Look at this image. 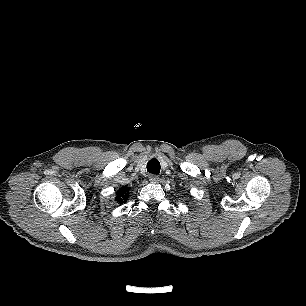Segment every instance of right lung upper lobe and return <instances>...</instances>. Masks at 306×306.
<instances>
[{
	"label": "right lung upper lobe",
	"instance_id": "right-lung-upper-lobe-1",
	"mask_svg": "<svg viewBox=\"0 0 306 306\" xmlns=\"http://www.w3.org/2000/svg\"><path fill=\"white\" fill-rule=\"evenodd\" d=\"M128 187H122L120 188L117 193H116V200L119 203L125 202V200L128 198V193H127Z\"/></svg>",
	"mask_w": 306,
	"mask_h": 306
}]
</instances>
